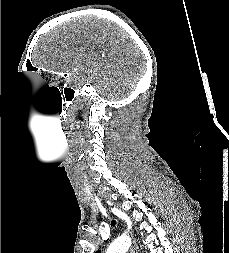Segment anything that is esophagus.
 Segmentation results:
<instances>
[{
	"instance_id": "esophagus-1",
	"label": "esophagus",
	"mask_w": 229,
	"mask_h": 253,
	"mask_svg": "<svg viewBox=\"0 0 229 253\" xmlns=\"http://www.w3.org/2000/svg\"><path fill=\"white\" fill-rule=\"evenodd\" d=\"M130 253H137L134 246L131 247Z\"/></svg>"
}]
</instances>
